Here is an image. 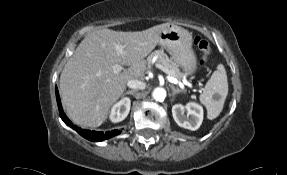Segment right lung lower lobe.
<instances>
[{
  "label": "right lung lower lobe",
  "instance_id": "obj_1",
  "mask_svg": "<svg viewBox=\"0 0 287 175\" xmlns=\"http://www.w3.org/2000/svg\"><path fill=\"white\" fill-rule=\"evenodd\" d=\"M56 98H57V104H58V109L60 112L61 119L64 121V123L66 125L70 126L72 129H74L76 132H78L84 138H86L90 141H93V142H98V141H102L105 139H109V138H111L115 135H118L120 133V131H118V130H112V131L105 132V133L97 132V131H90V130L82 129L76 125H73L72 122L63 113L60 98H59V92H58L57 88H56Z\"/></svg>",
  "mask_w": 287,
  "mask_h": 175
}]
</instances>
